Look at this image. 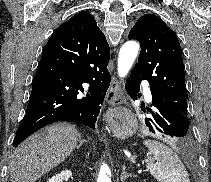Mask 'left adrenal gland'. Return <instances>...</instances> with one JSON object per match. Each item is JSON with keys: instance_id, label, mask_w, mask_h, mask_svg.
<instances>
[{"instance_id": "obj_1", "label": "left adrenal gland", "mask_w": 211, "mask_h": 182, "mask_svg": "<svg viewBox=\"0 0 211 182\" xmlns=\"http://www.w3.org/2000/svg\"><path fill=\"white\" fill-rule=\"evenodd\" d=\"M128 177H135V175H131L126 171V166L124 165L122 167V172H121V176H120V180L121 182H124Z\"/></svg>"}]
</instances>
